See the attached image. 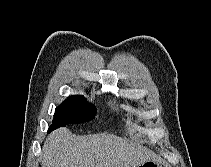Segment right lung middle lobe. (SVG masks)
<instances>
[{
  "instance_id": "dd1d6c3e",
  "label": "right lung middle lobe",
  "mask_w": 211,
  "mask_h": 167,
  "mask_svg": "<svg viewBox=\"0 0 211 167\" xmlns=\"http://www.w3.org/2000/svg\"><path fill=\"white\" fill-rule=\"evenodd\" d=\"M84 97L70 96L56 108L53 125L49 130L92 120L96 113L95 106H86Z\"/></svg>"
}]
</instances>
